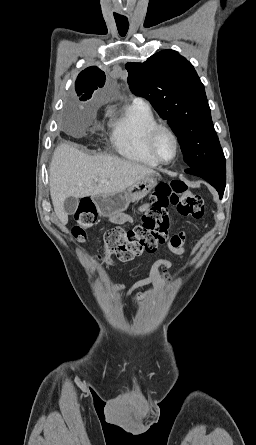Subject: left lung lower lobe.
I'll use <instances>...</instances> for the list:
<instances>
[{
	"label": "left lung lower lobe",
	"mask_w": 256,
	"mask_h": 445,
	"mask_svg": "<svg viewBox=\"0 0 256 445\" xmlns=\"http://www.w3.org/2000/svg\"><path fill=\"white\" fill-rule=\"evenodd\" d=\"M186 173L199 176L208 181L222 198L226 183V166L223 163H208L190 167Z\"/></svg>",
	"instance_id": "left-lung-lower-lobe-1"
}]
</instances>
